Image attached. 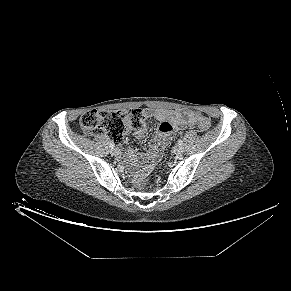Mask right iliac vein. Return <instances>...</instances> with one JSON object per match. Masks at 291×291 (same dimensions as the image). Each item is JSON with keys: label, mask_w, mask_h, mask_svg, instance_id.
<instances>
[{"label": "right iliac vein", "mask_w": 291, "mask_h": 291, "mask_svg": "<svg viewBox=\"0 0 291 291\" xmlns=\"http://www.w3.org/2000/svg\"><path fill=\"white\" fill-rule=\"evenodd\" d=\"M111 154L116 156L119 154V150L117 148H113L111 149Z\"/></svg>", "instance_id": "63e3f726"}]
</instances>
